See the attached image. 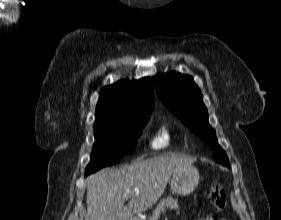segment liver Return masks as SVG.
Returning <instances> with one entry per match:
<instances>
[{"mask_svg": "<svg viewBox=\"0 0 281 220\" xmlns=\"http://www.w3.org/2000/svg\"><path fill=\"white\" fill-rule=\"evenodd\" d=\"M193 161L182 155L167 154L90 175L85 220H139L135 215L157 202L171 175L190 167ZM127 191L131 194L126 198ZM126 199H129L127 205Z\"/></svg>", "mask_w": 281, "mask_h": 220, "instance_id": "obj_1", "label": "liver"}]
</instances>
